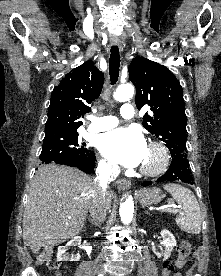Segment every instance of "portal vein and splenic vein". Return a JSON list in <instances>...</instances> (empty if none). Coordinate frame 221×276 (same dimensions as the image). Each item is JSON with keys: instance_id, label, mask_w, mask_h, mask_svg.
Returning <instances> with one entry per match:
<instances>
[{"instance_id": "portal-vein-and-splenic-vein-1", "label": "portal vein and splenic vein", "mask_w": 221, "mask_h": 276, "mask_svg": "<svg viewBox=\"0 0 221 276\" xmlns=\"http://www.w3.org/2000/svg\"><path fill=\"white\" fill-rule=\"evenodd\" d=\"M160 211H162V212H171V213H178L179 212V210L176 209V207L173 206V205H168L165 208L161 209Z\"/></svg>"}]
</instances>
